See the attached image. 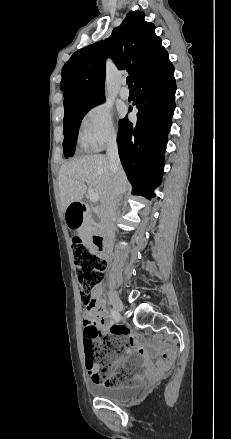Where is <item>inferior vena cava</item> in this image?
Wrapping results in <instances>:
<instances>
[{"instance_id":"obj_1","label":"inferior vena cava","mask_w":231,"mask_h":439,"mask_svg":"<svg viewBox=\"0 0 231 439\" xmlns=\"http://www.w3.org/2000/svg\"><path fill=\"white\" fill-rule=\"evenodd\" d=\"M106 153L109 159L110 170L113 173V180L109 192L101 201V220L106 229L108 239H112L114 237V219L116 215V202L118 200L116 181L118 172L121 169L118 147L115 139L108 143Z\"/></svg>"}]
</instances>
